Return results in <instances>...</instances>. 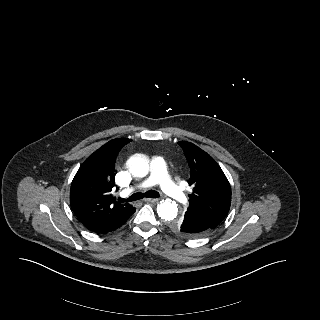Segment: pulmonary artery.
<instances>
[{"mask_svg":"<svg viewBox=\"0 0 320 320\" xmlns=\"http://www.w3.org/2000/svg\"><path fill=\"white\" fill-rule=\"evenodd\" d=\"M155 184H159L161 189L173 199L179 202H185L187 200V197L181 188L170 179L167 173L165 160L162 157H154L152 159L150 176L131 190L148 188Z\"/></svg>","mask_w":320,"mask_h":320,"instance_id":"e3ab8cb5","label":"pulmonary artery"}]
</instances>
